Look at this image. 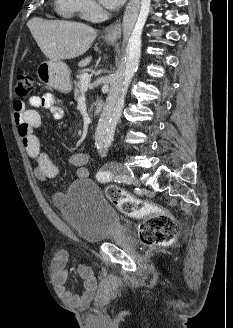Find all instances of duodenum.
<instances>
[{"instance_id": "obj_1", "label": "duodenum", "mask_w": 233, "mask_h": 328, "mask_svg": "<svg viewBox=\"0 0 233 328\" xmlns=\"http://www.w3.org/2000/svg\"><path fill=\"white\" fill-rule=\"evenodd\" d=\"M103 107H104V102L102 100L97 101L95 104V113L99 114L102 111Z\"/></svg>"}]
</instances>
